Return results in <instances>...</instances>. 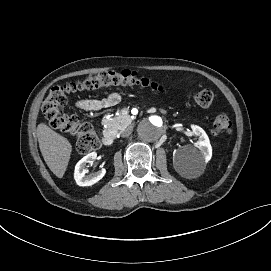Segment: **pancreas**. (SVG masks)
I'll return each instance as SVG.
<instances>
[{
	"mask_svg": "<svg viewBox=\"0 0 271 271\" xmlns=\"http://www.w3.org/2000/svg\"><path fill=\"white\" fill-rule=\"evenodd\" d=\"M123 114H119L118 116L112 119H102V125H106V128L109 130H113L116 133L121 129V127H126L131 123V118L128 116V111L124 110Z\"/></svg>",
	"mask_w": 271,
	"mask_h": 271,
	"instance_id": "cf45deb5",
	"label": "pancreas"
}]
</instances>
